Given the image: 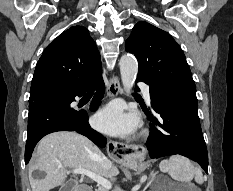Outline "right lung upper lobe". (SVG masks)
I'll use <instances>...</instances> for the list:
<instances>
[{"mask_svg": "<svg viewBox=\"0 0 233 191\" xmlns=\"http://www.w3.org/2000/svg\"><path fill=\"white\" fill-rule=\"evenodd\" d=\"M96 44L83 26H74L54 39L40 57L30 91L82 87L101 75Z\"/></svg>", "mask_w": 233, "mask_h": 191, "instance_id": "1", "label": "right lung upper lobe"}]
</instances>
